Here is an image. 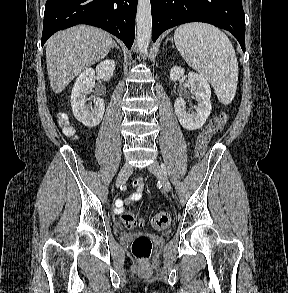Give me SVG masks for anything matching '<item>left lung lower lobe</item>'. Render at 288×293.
Segmentation results:
<instances>
[{
    "label": "left lung lower lobe",
    "instance_id": "0a47b994",
    "mask_svg": "<svg viewBox=\"0 0 288 293\" xmlns=\"http://www.w3.org/2000/svg\"><path fill=\"white\" fill-rule=\"evenodd\" d=\"M153 42L165 30L205 22L232 33L245 52V15L241 0H151Z\"/></svg>",
    "mask_w": 288,
    "mask_h": 293
}]
</instances>
